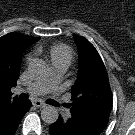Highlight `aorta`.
Segmentation results:
<instances>
[{
  "label": "aorta",
  "instance_id": "762f6f07",
  "mask_svg": "<svg viewBox=\"0 0 135 135\" xmlns=\"http://www.w3.org/2000/svg\"><path fill=\"white\" fill-rule=\"evenodd\" d=\"M30 75L37 80L49 77L50 68L42 59H33L28 65ZM59 113L56 107L47 106L41 111V118L47 124H53L58 120Z\"/></svg>",
  "mask_w": 135,
  "mask_h": 135
}]
</instances>
